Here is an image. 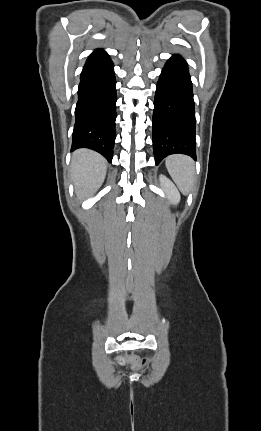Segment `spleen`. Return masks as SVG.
<instances>
[{
  "instance_id": "spleen-1",
  "label": "spleen",
  "mask_w": 261,
  "mask_h": 431,
  "mask_svg": "<svg viewBox=\"0 0 261 431\" xmlns=\"http://www.w3.org/2000/svg\"><path fill=\"white\" fill-rule=\"evenodd\" d=\"M166 168L183 194H187L195 181L193 160L186 155H171L166 159Z\"/></svg>"
}]
</instances>
